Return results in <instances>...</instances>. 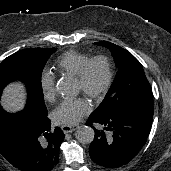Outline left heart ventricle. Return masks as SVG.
<instances>
[{
  "label": "left heart ventricle",
  "mask_w": 171,
  "mask_h": 171,
  "mask_svg": "<svg viewBox=\"0 0 171 171\" xmlns=\"http://www.w3.org/2000/svg\"><path fill=\"white\" fill-rule=\"evenodd\" d=\"M105 67L102 63H96L93 65L89 76V87L93 90L100 88L105 80ZM76 87L78 91H81V85L76 81Z\"/></svg>",
  "instance_id": "b2bd125f"
}]
</instances>
